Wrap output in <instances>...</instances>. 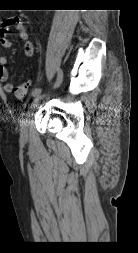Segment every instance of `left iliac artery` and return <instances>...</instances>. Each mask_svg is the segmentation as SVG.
<instances>
[{
    "label": "left iliac artery",
    "mask_w": 138,
    "mask_h": 253,
    "mask_svg": "<svg viewBox=\"0 0 138 253\" xmlns=\"http://www.w3.org/2000/svg\"><path fill=\"white\" fill-rule=\"evenodd\" d=\"M62 81H63V71L61 69H59L56 81L54 83V87L56 88V87L60 86V84L62 83ZM41 92H42L41 88H36V89L33 90L32 96L33 97H37L38 95L41 94Z\"/></svg>",
    "instance_id": "obj_1"
}]
</instances>
